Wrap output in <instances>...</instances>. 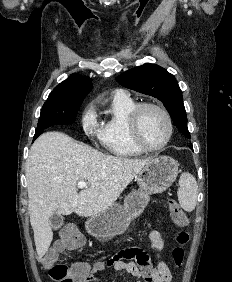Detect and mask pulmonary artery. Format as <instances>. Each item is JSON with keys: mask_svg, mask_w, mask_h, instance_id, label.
<instances>
[{"mask_svg": "<svg viewBox=\"0 0 232 282\" xmlns=\"http://www.w3.org/2000/svg\"><path fill=\"white\" fill-rule=\"evenodd\" d=\"M116 93L122 94V93H125V92L123 90H117Z\"/></svg>", "mask_w": 232, "mask_h": 282, "instance_id": "1", "label": "pulmonary artery"}]
</instances>
